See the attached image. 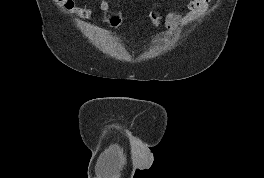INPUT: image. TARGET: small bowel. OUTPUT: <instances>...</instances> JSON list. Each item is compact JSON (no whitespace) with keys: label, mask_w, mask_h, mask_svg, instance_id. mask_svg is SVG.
<instances>
[{"label":"small bowel","mask_w":264,"mask_h":178,"mask_svg":"<svg viewBox=\"0 0 264 178\" xmlns=\"http://www.w3.org/2000/svg\"><path fill=\"white\" fill-rule=\"evenodd\" d=\"M210 1L211 0H189L184 9L172 11L165 15L163 19L164 27L169 31H173L178 27L190 24L207 10ZM69 9L84 19H89L94 12V9L89 6L72 5ZM99 9L103 13H107L111 10V7L106 0H101Z\"/></svg>","instance_id":"1"}]
</instances>
